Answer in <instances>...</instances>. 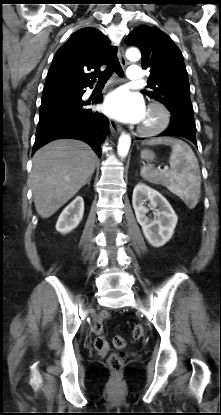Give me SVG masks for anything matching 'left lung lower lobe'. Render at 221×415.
<instances>
[{
    "mask_svg": "<svg viewBox=\"0 0 221 415\" xmlns=\"http://www.w3.org/2000/svg\"><path fill=\"white\" fill-rule=\"evenodd\" d=\"M171 122L168 129L159 136H179L186 138L197 146L195 138L196 125L193 117V109L184 107L170 110ZM143 139V138H136Z\"/></svg>",
    "mask_w": 221,
    "mask_h": 415,
    "instance_id": "left-lung-lower-lobe-1",
    "label": "left lung lower lobe"
}]
</instances>
